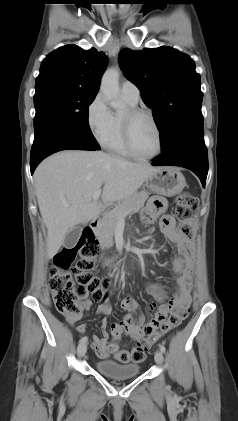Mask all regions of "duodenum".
I'll list each match as a JSON object with an SVG mask.
<instances>
[{"mask_svg": "<svg viewBox=\"0 0 238 421\" xmlns=\"http://www.w3.org/2000/svg\"><path fill=\"white\" fill-rule=\"evenodd\" d=\"M101 224V219L100 218H95L91 221L89 227H87V229L85 230V233H90L92 234V232H94L95 230H97V228L100 226Z\"/></svg>", "mask_w": 238, "mask_h": 421, "instance_id": "obj_1", "label": "duodenum"}]
</instances>
